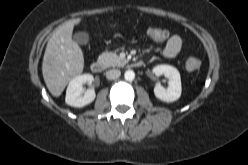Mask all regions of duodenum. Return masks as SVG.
Returning a JSON list of instances; mask_svg holds the SVG:
<instances>
[{
  "label": "duodenum",
  "instance_id": "1",
  "mask_svg": "<svg viewBox=\"0 0 248 165\" xmlns=\"http://www.w3.org/2000/svg\"><path fill=\"white\" fill-rule=\"evenodd\" d=\"M133 67H141L142 66V62L141 61H136L132 63ZM91 70L94 73H101L104 68H105V64L102 60H94L91 65H90Z\"/></svg>",
  "mask_w": 248,
  "mask_h": 165
}]
</instances>
